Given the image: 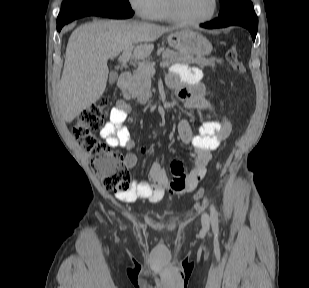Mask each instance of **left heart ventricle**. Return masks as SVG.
<instances>
[{
	"instance_id": "1",
	"label": "left heart ventricle",
	"mask_w": 309,
	"mask_h": 288,
	"mask_svg": "<svg viewBox=\"0 0 309 288\" xmlns=\"http://www.w3.org/2000/svg\"><path fill=\"white\" fill-rule=\"evenodd\" d=\"M178 13L188 20H199L212 10V0H175Z\"/></svg>"
}]
</instances>
